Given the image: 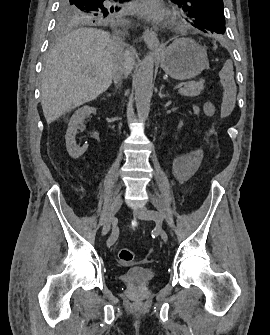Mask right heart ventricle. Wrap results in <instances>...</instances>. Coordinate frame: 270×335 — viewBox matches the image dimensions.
<instances>
[{"label":"right heart ventricle","instance_id":"obj_1","mask_svg":"<svg viewBox=\"0 0 270 335\" xmlns=\"http://www.w3.org/2000/svg\"><path fill=\"white\" fill-rule=\"evenodd\" d=\"M135 78H145V77H135Z\"/></svg>","mask_w":270,"mask_h":335}]
</instances>
